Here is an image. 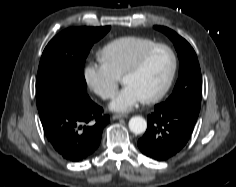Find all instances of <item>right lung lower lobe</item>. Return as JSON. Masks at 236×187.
Masks as SVG:
<instances>
[{
    "label": "right lung lower lobe",
    "instance_id": "obj_1",
    "mask_svg": "<svg viewBox=\"0 0 236 187\" xmlns=\"http://www.w3.org/2000/svg\"><path fill=\"white\" fill-rule=\"evenodd\" d=\"M54 149L67 161L80 162L98 148L110 118L87 94L60 93L40 117Z\"/></svg>",
    "mask_w": 236,
    "mask_h": 187
}]
</instances>
